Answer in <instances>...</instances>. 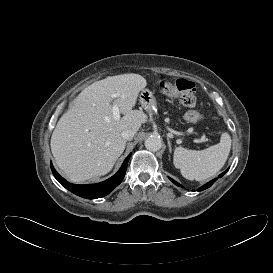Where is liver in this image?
<instances>
[{"instance_id":"1","label":"liver","mask_w":273,"mask_h":273,"mask_svg":"<svg viewBox=\"0 0 273 273\" xmlns=\"http://www.w3.org/2000/svg\"><path fill=\"white\" fill-rule=\"evenodd\" d=\"M146 85L139 74H122L94 82L78 95L59 119L50 142L56 164L68 180L83 182L113 168L126 146L122 131L136 133L146 121L142 111L133 109ZM113 104L124 115L118 120L113 118Z\"/></svg>"}]
</instances>
